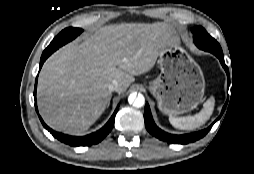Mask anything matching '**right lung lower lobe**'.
Wrapping results in <instances>:
<instances>
[{"label":"right lung lower lobe","mask_w":254,"mask_h":174,"mask_svg":"<svg viewBox=\"0 0 254 174\" xmlns=\"http://www.w3.org/2000/svg\"><path fill=\"white\" fill-rule=\"evenodd\" d=\"M67 42H69L67 39L59 41L58 44L56 43V47L54 49L57 50L60 46L66 44ZM53 52L52 51L43 52V54L41 56V59H40V67H39V69H41V67H42L43 63L45 62V60ZM36 87H37V78H36V82H35L34 99H35L36 112L38 113V109H37V105H36ZM117 111H118V108L115 110V112L113 113V115L111 116V118L109 119V121L106 123V125L103 128H101L97 132H94L92 134H89V135H86V136H83V137L69 136V135H65V134L59 133V132H55L54 130L49 128L44 123V121L42 120L40 115H39V118H40L44 128H46L59 141L65 143V144H68L70 146H90V145L99 143L112 130V128L114 126L115 115H116Z\"/></svg>","instance_id":"right-lung-lower-lobe-1"}]
</instances>
